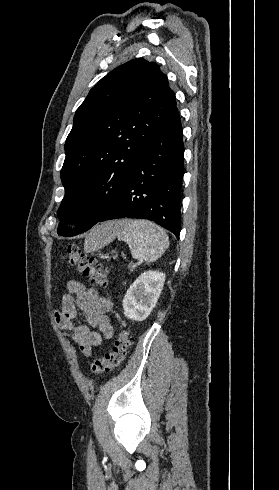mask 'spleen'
Wrapping results in <instances>:
<instances>
[{"label": "spleen", "instance_id": "spleen-1", "mask_svg": "<svg viewBox=\"0 0 279 490\" xmlns=\"http://www.w3.org/2000/svg\"><path fill=\"white\" fill-rule=\"evenodd\" d=\"M115 226H117V230H115ZM115 236H118V240L121 242L128 244L135 260H142L148 264L161 258L169 246L165 230L153 222H149V220H134V222L133 220H120V222H114V228L110 234H104L102 230L95 228L87 240L86 250L87 246H90L89 252H97L112 242Z\"/></svg>", "mask_w": 279, "mask_h": 490}]
</instances>
